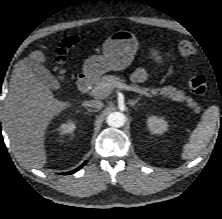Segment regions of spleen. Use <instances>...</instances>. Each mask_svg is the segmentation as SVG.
Segmentation results:
<instances>
[{"label": "spleen", "instance_id": "obj_1", "mask_svg": "<svg viewBox=\"0 0 222 219\" xmlns=\"http://www.w3.org/2000/svg\"><path fill=\"white\" fill-rule=\"evenodd\" d=\"M219 115V108L215 105L209 107L203 113L201 122L192 132L189 142L184 145L183 153L181 155L183 159L194 158L207 146L214 135Z\"/></svg>", "mask_w": 222, "mask_h": 219}]
</instances>
